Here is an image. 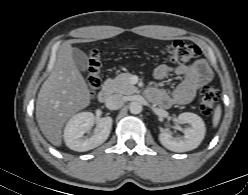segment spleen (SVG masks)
Masks as SVG:
<instances>
[{
    "label": "spleen",
    "instance_id": "1",
    "mask_svg": "<svg viewBox=\"0 0 248 195\" xmlns=\"http://www.w3.org/2000/svg\"><path fill=\"white\" fill-rule=\"evenodd\" d=\"M220 117H221V107L220 105H218L214 111V115H213V126L216 127L220 121Z\"/></svg>",
    "mask_w": 248,
    "mask_h": 195
}]
</instances>
